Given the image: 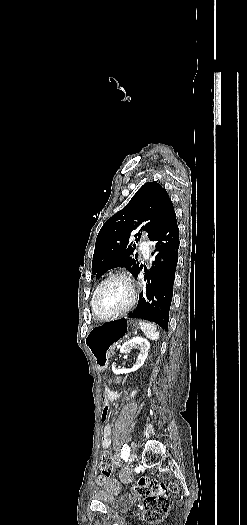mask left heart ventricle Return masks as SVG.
I'll list each match as a JSON object with an SVG mask.
<instances>
[{
    "mask_svg": "<svg viewBox=\"0 0 247 525\" xmlns=\"http://www.w3.org/2000/svg\"><path fill=\"white\" fill-rule=\"evenodd\" d=\"M130 294L131 286L128 280L111 279L101 287L97 296V306L101 310H113L126 303Z\"/></svg>",
    "mask_w": 247,
    "mask_h": 525,
    "instance_id": "left-heart-ventricle-1",
    "label": "left heart ventricle"
}]
</instances>
